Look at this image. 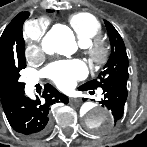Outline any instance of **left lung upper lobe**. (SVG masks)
I'll return each instance as SVG.
<instances>
[{
    "mask_svg": "<svg viewBox=\"0 0 147 147\" xmlns=\"http://www.w3.org/2000/svg\"><path fill=\"white\" fill-rule=\"evenodd\" d=\"M107 31L109 34L111 44V56L97 79H93L82 86L87 89H97L102 87L103 84L115 80H128V57L125 49L124 42L117 32V30L107 21H105Z\"/></svg>",
    "mask_w": 147,
    "mask_h": 147,
    "instance_id": "obj_1",
    "label": "left lung upper lobe"
}]
</instances>
